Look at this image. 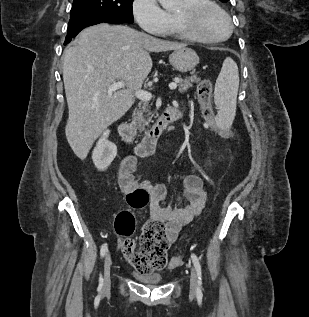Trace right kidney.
<instances>
[{
	"label": "right kidney",
	"mask_w": 309,
	"mask_h": 317,
	"mask_svg": "<svg viewBox=\"0 0 309 317\" xmlns=\"http://www.w3.org/2000/svg\"><path fill=\"white\" fill-rule=\"evenodd\" d=\"M110 130H105L93 150L92 160L99 171L106 170L117 155V146L108 141Z\"/></svg>",
	"instance_id": "right-kidney-1"
}]
</instances>
